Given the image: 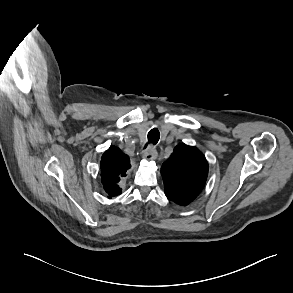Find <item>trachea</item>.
Listing matches in <instances>:
<instances>
[{
  "mask_svg": "<svg viewBox=\"0 0 293 293\" xmlns=\"http://www.w3.org/2000/svg\"><path fill=\"white\" fill-rule=\"evenodd\" d=\"M160 138V132L157 128H153L149 131L148 133V143L149 144H153L155 145ZM147 145H145V149H146Z\"/></svg>",
  "mask_w": 293,
  "mask_h": 293,
  "instance_id": "trachea-1",
  "label": "trachea"
}]
</instances>
